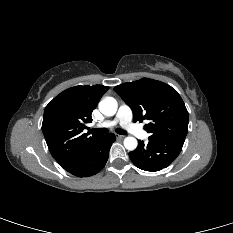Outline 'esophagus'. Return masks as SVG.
<instances>
[{
    "mask_svg": "<svg viewBox=\"0 0 233 233\" xmlns=\"http://www.w3.org/2000/svg\"><path fill=\"white\" fill-rule=\"evenodd\" d=\"M124 137H125L124 135H116L117 139H124Z\"/></svg>",
    "mask_w": 233,
    "mask_h": 233,
    "instance_id": "34e87169",
    "label": "esophagus"
}]
</instances>
